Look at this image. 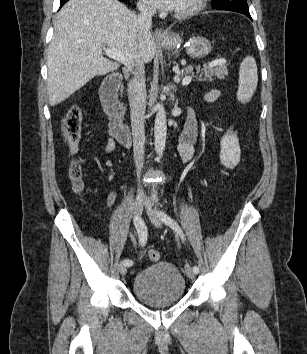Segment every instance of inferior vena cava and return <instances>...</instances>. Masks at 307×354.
I'll return each mask as SVG.
<instances>
[{
	"instance_id": "602c4592",
	"label": "inferior vena cava",
	"mask_w": 307,
	"mask_h": 354,
	"mask_svg": "<svg viewBox=\"0 0 307 354\" xmlns=\"http://www.w3.org/2000/svg\"><path fill=\"white\" fill-rule=\"evenodd\" d=\"M138 9L140 11V15L138 16L140 33L146 34L152 26V17L155 9L145 4H139ZM134 66L137 73L128 83V98L130 103L134 160L139 177L140 171L143 168L144 145L146 141L144 129L146 85L144 79V62L138 59ZM138 192H142V189L138 188Z\"/></svg>"
}]
</instances>
